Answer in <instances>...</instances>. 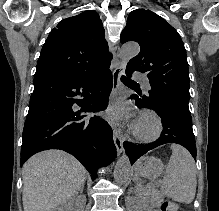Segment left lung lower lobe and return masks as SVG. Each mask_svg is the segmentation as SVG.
<instances>
[{
	"instance_id": "0a47b994",
	"label": "left lung lower lobe",
	"mask_w": 219,
	"mask_h": 211,
	"mask_svg": "<svg viewBox=\"0 0 219 211\" xmlns=\"http://www.w3.org/2000/svg\"><path fill=\"white\" fill-rule=\"evenodd\" d=\"M126 74L131 77L130 73ZM131 99L136 101V106L154 110L162 119L163 130L160 137L149 144L136 145L131 142H125L124 148L133 164L139 157L149 150L167 143H176L189 150L194 159H196V144L192 130V118L189 112L172 105L162 106L151 100H147L140 93L131 95Z\"/></svg>"
}]
</instances>
